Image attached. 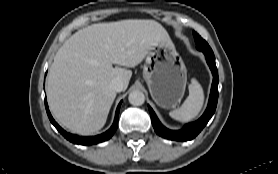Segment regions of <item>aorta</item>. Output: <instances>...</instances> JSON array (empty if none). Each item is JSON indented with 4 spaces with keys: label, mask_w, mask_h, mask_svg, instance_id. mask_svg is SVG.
Instances as JSON below:
<instances>
[{
    "label": "aorta",
    "mask_w": 278,
    "mask_h": 174,
    "mask_svg": "<svg viewBox=\"0 0 278 174\" xmlns=\"http://www.w3.org/2000/svg\"><path fill=\"white\" fill-rule=\"evenodd\" d=\"M128 100L131 105L140 106L145 102V96L143 92L134 90L129 94Z\"/></svg>",
    "instance_id": "obj_1"
}]
</instances>
